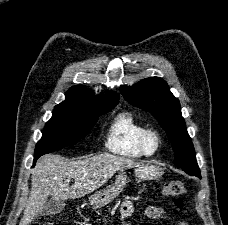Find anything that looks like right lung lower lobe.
<instances>
[{"instance_id": "right-lung-lower-lobe-1", "label": "right lung lower lobe", "mask_w": 228, "mask_h": 225, "mask_svg": "<svg viewBox=\"0 0 228 225\" xmlns=\"http://www.w3.org/2000/svg\"><path fill=\"white\" fill-rule=\"evenodd\" d=\"M40 156H42V155H34V164Z\"/></svg>"}]
</instances>
